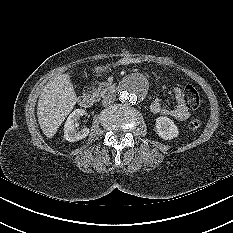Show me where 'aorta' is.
I'll list each match as a JSON object with an SVG mask.
<instances>
[{
    "mask_svg": "<svg viewBox=\"0 0 233 233\" xmlns=\"http://www.w3.org/2000/svg\"><path fill=\"white\" fill-rule=\"evenodd\" d=\"M147 86L143 80L131 77L124 81L120 88L119 98L122 103L136 104L144 99Z\"/></svg>",
    "mask_w": 233,
    "mask_h": 233,
    "instance_id": "aorta-1",
    "label": "aorta"
}]
</instances>
